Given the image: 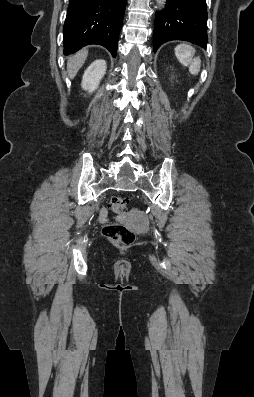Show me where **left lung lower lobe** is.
Returning <instances> with one entry per match:
<instances>
[{"label":"left lung lower lobe","instance_id":"1","mask_svg":"<svg viewBox=\"0 0 254 397\" xmlns=\"http://www.w3.org/2000/svg\"><path fill=\"white\" fill-rule=\"evenodd\" d=\"M170 40H184L206 49V0H167L165 8L156 14L153 50Z\"/></svg>","mask_w":254,"mask_h":397}]
</instances>
